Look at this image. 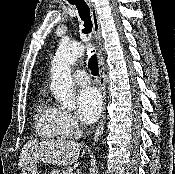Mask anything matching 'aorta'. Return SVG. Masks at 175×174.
Instances as JSON below:
<instances>
[{"label": "aorta", "instance_id": "762f6f07", "mask_svg": "<svg viewBox=\"0 0 175 174\" xmlns=\"http://www.w3.org/2000/svg\"><path fill=\"white\" fill-rule=\"evenodd\" d=\"M81 42L61 43L51 63V90L57 101L67 109L76 105L73 91L71 67L84 53Z\"/></svg>", "mask_w": 175, "mask_h": 174}]
</instances>
